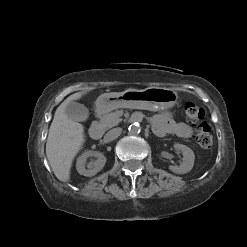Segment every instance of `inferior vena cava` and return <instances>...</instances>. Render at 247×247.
Here are the masks:
<instances>
[{"label": "inferior vena cava", "mask_w": 247, "mask_h": 247, "mask_svg": "<svg viewBox=\"0 0 247 247\" xmlns=\"http://www.w3.org/2000/svg\"><path fill=\"white\" fill-rule=\"evenodd\" d=\"M121 132H122V128H119V127L111 129L106 133L105 139L107 141L115 140L116 138L120 136Z\"/></svg>", "instance_id": "1"}]
</instances>
